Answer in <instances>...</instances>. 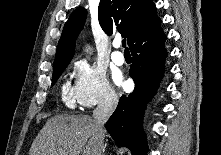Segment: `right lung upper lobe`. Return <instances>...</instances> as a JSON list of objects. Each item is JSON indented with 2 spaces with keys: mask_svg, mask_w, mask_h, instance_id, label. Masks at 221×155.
<instances>
[{
  "mask_svg": "<svg viewBox=\"0 0 221 155\" xmlns=\"http://www.w3.org/2000/svg\"><path fill=\"white\" fill-rule=\"evenodd\" d=\"M86 15V9L79 7L65 23L54 69L69 64L73 58L76 39L84 26ZM98 18L106 34L111 35L118 30L128 39L129 48L139 36L160 23L152 0H100Z\"/></svg>",
  "mask_w": 221,
  "mask_h": 155,
  "instance_id": "right-lung-upper-lobe-1",
  "label": "right lung upper lobe"
}]
</instances>
